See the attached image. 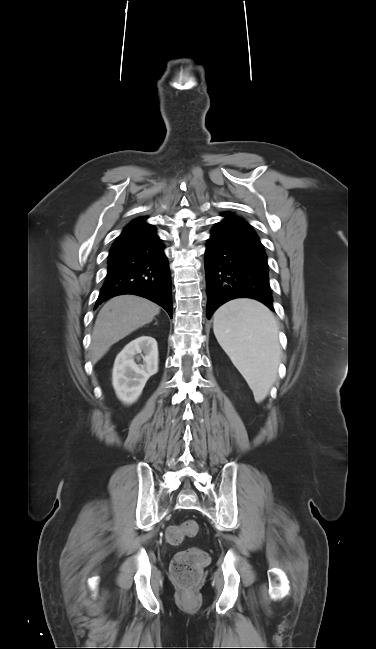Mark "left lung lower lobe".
Returning <instances> with one entry per match:
<instances>
[{"instance_id":"1","label":"left lung lower lobe","mask_w":376,"mask_h":649,"mask_svg":"<svg viewBox=\"0 0 376 649\" xmlns=\"http://www.w3.org/2000/svg\"><path fill=\"white\" fill-rule=\"evenodd\" d=\"M215 224L205 252L207 318L225 302L248 297L272 311L267 255L253 228L236 216Z\"/></svg>"}]
</instances>
